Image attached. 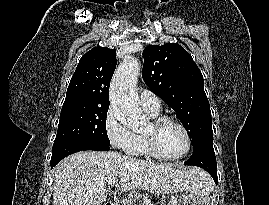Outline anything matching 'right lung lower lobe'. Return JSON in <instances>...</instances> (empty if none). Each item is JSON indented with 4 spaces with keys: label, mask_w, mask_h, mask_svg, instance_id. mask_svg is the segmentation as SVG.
<instances>
[{
    "label": "right lung lower lobe",
    "mask_w": 269,
    "mask_h": 205,
    "mask_svg": "<svg viewBox=\"0 0 269 205\" xmlns=\"http://www.w3.org/2000/svg\"><path fill=\"white\" fill-rule=\"evenodd\" d=\"M109 145L99 144L94 141H84L80 139L63 140L54 142L51 157V167H54L66 156L82 150L106 151Z\"/></svg>",
    "instance_id": "98d812e1"
}]
</instances>
